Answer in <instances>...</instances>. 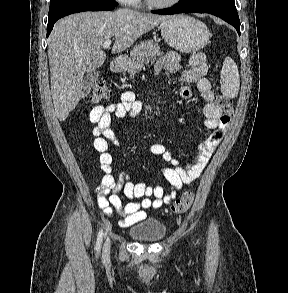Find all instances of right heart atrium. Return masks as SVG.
I'll use <instances>...</instances> for the list:
<instances>
[{"label": "right heart atrium", "mask_w": 288, "mask_h": 293, "mask_svg": "<svg viewBox=\"0 0 288 293\" xmlns=\"http://www.w3.org/2000/svg\"><path fill=\"white\" fill-rule=\"evenodd\" d=\"M118 2L128 5V4H132L135 0H117Z\"/></svg>", "instance_id": "right-heart-atrium-1"}]
</instances>
